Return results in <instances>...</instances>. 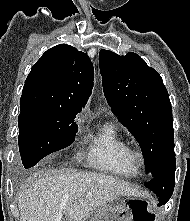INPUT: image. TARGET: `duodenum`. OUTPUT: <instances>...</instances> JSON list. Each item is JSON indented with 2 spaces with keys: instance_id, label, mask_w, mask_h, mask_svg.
<instances>
[{
  "instance_id": "duodenum-1",
  "label": "duodenum",
  "mask_w": 190,
  "mask_h": 221,
  "mask_svg": "<svg viewBox=\"0 0 190 221\" xmlns=\"http://www.w3.org/2000/svg\"><path fill=\"white\" fill-rule=\"evenodd\" d=\"M82 221H92V219L87 217V218L83 219Z\"/></svg>"
}]
</instances>
